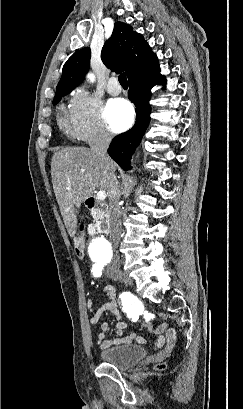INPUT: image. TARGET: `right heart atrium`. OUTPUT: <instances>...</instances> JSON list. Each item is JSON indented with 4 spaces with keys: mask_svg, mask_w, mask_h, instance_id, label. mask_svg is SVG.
Instances as JSON below:
<instances>
[{
    "mask_svg": "<svg viewBox=\"0 0 243 409\" xmlns=\"http://www.w3.org/2000/svg\"><path fill=\"white\" fill-rule=\"evenodd\" d=\"M70 134L86 142H108L112 134L101 116L99 102L84 90H77L71 99L68 112Z\"/></svg>",
    "mask_w": 243,
    "mask_h": 409,
    "instance_id": "1",
    "label": "right heart atrium"
}]
</instances>
